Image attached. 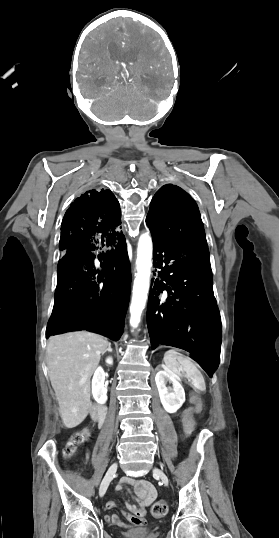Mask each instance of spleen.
<instances>
[{"label":"spleen","instance_id":"spleen-1","mask_svg":"<svg viewBox=\"0 0 279 538\" xmlns=\"http://www.w3.org/2000/svg\"><path fill=\"white\" fill-rule=\"evenodd\" d=\"M180 350L174 348V350H168L165 352L163 362L168 368L172 370L175 374H179V366H182L183 372H186V376L193 380L192 387H195V392L197 394H204L206 392L204 380L201 378L199 370L191 362V358H186L183 354H179Z\"/></svg>","mask_w":279,"mask_h":538}]
</instances>
